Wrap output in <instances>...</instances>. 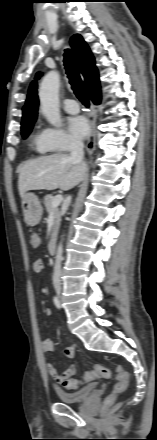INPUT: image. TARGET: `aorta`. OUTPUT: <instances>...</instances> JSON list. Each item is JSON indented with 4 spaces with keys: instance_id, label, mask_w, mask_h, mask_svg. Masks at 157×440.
<instances>
[{
    "instance_id": "aorta-1",
    "label": "aorta",
    "mask_w": 157,
    "mask_h": 440,
    "mask_svg": "<svg viewBox=\"0 0 157 440\" xmlns=\"http://www.w3.org/2000/svg\"><path fill=\"white\" fill-rule=\"evenodd\" d=\"M59 85L60 77L58 72L50 71L43 78L39 90L42 114L53 126H57L61 122L58 97Z\"/></svg>"
}]
</instances>
